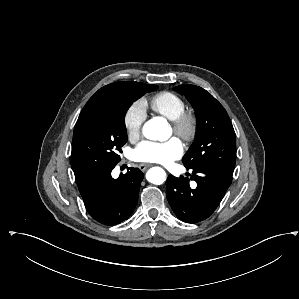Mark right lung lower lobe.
Wrapping results in <instances>:
<instances>
[{"mask_svg": "<svg viewBox=\"0 0 299 299\" xmlns=\"http://www.w3.org/2000/svg\"><path fill=\"white\" fill-rule=\"evenodd\" d=\"M114 167L77 184L88 213L104 225H114L129 218L144 176L140 169L128 168L126 174L113 179L111 171Z\"/></svg>", "mask_w": 299, "mask_h": 299, "instance_id": "right-lung-lower-lobe-1", "label": "right lung lower lobe"}]
</instances>
